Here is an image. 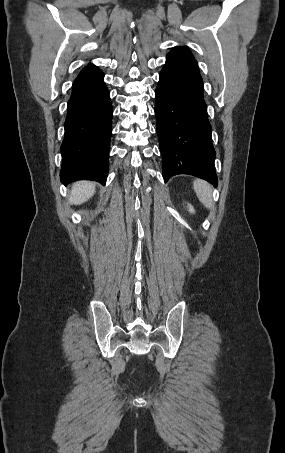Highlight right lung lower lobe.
<instances>
[{
    "label": "right lung lower lobe",
    "mask_w": 285,
    "mask_h": 453,
    "mask_svg": "<svg viewBox=\"0 0 285 453\" xmlns=\"http://www.w3.org/2000/svg\"><path fill=\"white\" fill-rule=\"evenodd\" d=\"M104 74L85 67L72 85L60 148L64 184L77 180L106 183L113 109Z\"/></svg>",
    "instance_id": "right-lung-lower-lobe-1"
}]
</instances>
